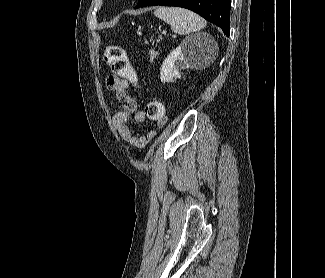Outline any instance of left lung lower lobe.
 <instances>
[{
  "mask_svg": "<svg viewBox=\"0 0 325 278\" xmlns=\"http://www.w3.org/2000/svg\"><path fill=\"white\" fill-rule=\"evenodd\" d=\"M161 5L190 9L230 33V0H139L135 8Z\"/></svg>",
  "mask_w": 325,
  "mask_h": 278,
  "instance_id": "0a47b994",
  "label": "left lung lower lobe"
}]
</instances>
